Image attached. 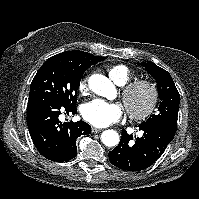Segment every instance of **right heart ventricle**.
Listing matches in <instances>:
<instances>
[{"label": "right heart ventricle", "mask_w": 199, "mask_h": 199, "mask_svg": "<svg viewBox=\"0 0 199 199\" xmlns=\"http://www.w3.org/2000/svg\"><path fill=\"white\" fill-rule=\"evenodd\" d=\"M107 71L110 78L120 86L125 85L134 75L131 69L123 64L111 65L107 68Z\"/></svg>", "instance_id": "right-heart-ventricle-1"}]
</instances>
